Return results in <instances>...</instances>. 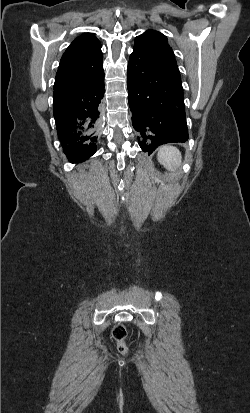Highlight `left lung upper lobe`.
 Listing matches in <instances>:
<instances>
[{
	"label": "left lung upper lobe",
	"instance_id": "left-lung-upper-lobe-1",
	"mask_svg": "<svg viewBox=\"0 0 250 413\" xmlns=\"http://www.w3.org/2000/svg\"><path fill=\"white\" fill-rule=\"evenodd\" d=\"M150 36H153V37H155V38H158V39H160L164 44L168 45V44H167V38H166L163 34H161L160 32L153 31V30L146 31V32H144L143 34L137 36V37L135 38V45H137V44H139L140 42H142L144 38H147V37H150ZM168 46H169V45H168Z\"/></svg>",
	"mask_w": 250,
	"mask_h": 413
}]
</instances>
